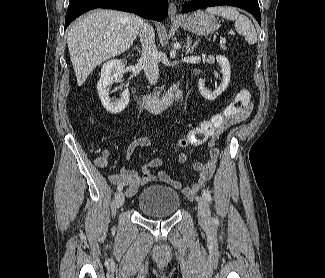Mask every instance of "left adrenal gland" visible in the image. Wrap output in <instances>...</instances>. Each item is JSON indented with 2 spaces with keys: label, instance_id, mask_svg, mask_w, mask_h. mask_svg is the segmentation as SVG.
<instances>
[{
  "label": "left adrenal gland",
  "instance_id": "obj_1",
  "mask_svg": "<svg viewBox=\"0 0 325 278\" xmlns=\"http://www.w3.org/2000/svg\"><path fill=\"white\" fill-rule=\"evenodd\" d=\"M198 42H199V41H196L195 43H192L190 37L188 36V37H187V48H186V49H187V52L190 53V54H192L193 51H194V49H195L196 46L198 45Z\"/></svg>",
  "mask_w": 325,
  "mask_h": 278
}]
</instances>
